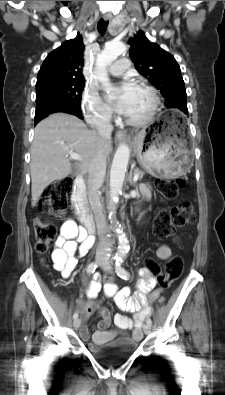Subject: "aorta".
<instances>
[{
    "label": "aorta",
    "mask_w": 225,
    "mask_h": 395,
    "mask_svg": "<svg viewBox=\"0 0 225 395\" xmlns=\"http://www.w3.org/2000/svg\"><path fill=\"white\" fill-rule=\"evenodd\" d=\"M126 46L122 42H110L97 55L96 58V78L102 84L106 91L112 89V85L108 78L106 68L117 59L119 55L124 53ZM130 158V149L126 144H121L114 155L110 170V206L114 208L119 194L122 192L125 173ZM115 222V219L113 218ZM118 250L116 258L123 259L129 251V242L126 235L118 229Z\"/></svg>",
    "instance_id": "1"
}]
</instances>
